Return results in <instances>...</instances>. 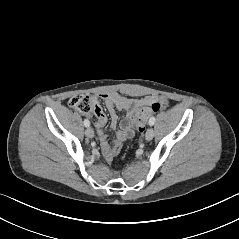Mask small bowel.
<instances>
[{
  "instance_id": "small-bowel-1",
  "label": "small bowel",
  "mask_w": 239,
  "mask_h": 239,
  "mask_svg": "<svg viewBox=\"0 0 239 239\" xmlns=\"http://www.w3.org/2000/svg\"><path fill=\"white\" fill-rule=\"evenodd\" d=\"M90 99L94 105L93 114L96 117L95 127L101 141L103 155L107 160H112L118 153L122 143L133 135L134 114L136 109L143 104H150L151 102L157 101L156 97L130 98L116 92L92 95ZM99 100L104 102L109 112L110 126L113 129L118 125L117 111L126 112V118L121 123V129L116 132V138L112 142L108 140L103 130L107 123V116L101 108Z\"/></svg>"
}]
</instances>
